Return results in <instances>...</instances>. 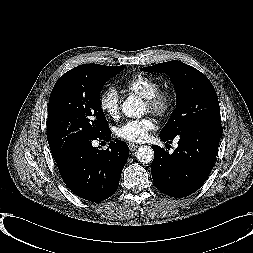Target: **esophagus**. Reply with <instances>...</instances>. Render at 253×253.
<instances>
[{"label":"esophagus","mask_w":253,"mask_h":253,"mask_svg":"<svg viewBox=\"0 0 253 253\" xmlns=\"http://www.w3.org/2000/svg\"><path fill=\"white\" fill-rule=\"evenodd\" d=\"M129 149H130V151H135L138 147H139V145L138 144H134V143H129Z\"/></svg>","instance_id":"1"}]
</instances>
